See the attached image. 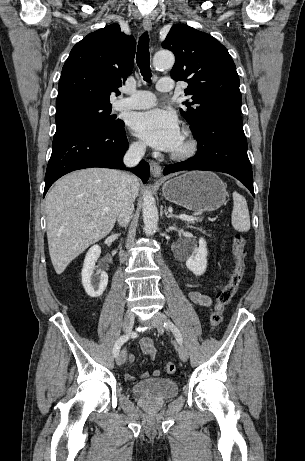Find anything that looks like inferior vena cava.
<instances>
[{"mask_svg": "<svg viewBox=\"0 0 305 461\" xmlns=\"http://www.w3.org/2000/svg\"><path fill=\"white\" fill-rule=\"evenodd\" d=\"M145 154V145L134 143L127 150L123 162L127 167L136 166ZM132 176L128 172H122L119 182L118 204L116 217L120 226L126 227L130 222L134 210L135 197L131 190Z\"/></svg>", "mask_w": 305, "mask_h": 461, "instance_id": "602c4592", "label": "inferior vena cava"}]
</instances>
